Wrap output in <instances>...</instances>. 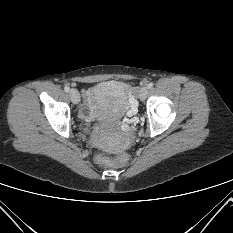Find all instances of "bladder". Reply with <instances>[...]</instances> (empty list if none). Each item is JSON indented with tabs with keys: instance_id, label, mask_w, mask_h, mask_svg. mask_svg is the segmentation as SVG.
<instances>
[{
	"instance_id": "bladder-1",
	"label": "bladder",
	"mask_w": 233,
	"mask_h": 233,
	"mask_svg": "<svg viewBox=\"0 0 233 233\" xmlns=\"http://www.w3.org/2000/svg\"><path fill=\"white\" fill-rule=\"evenodd\" d=\"M129 105V89L119 81L98 84L92 91V109L96 116L112 120L120 117Z\"/></svg>"
}]
</instances>
